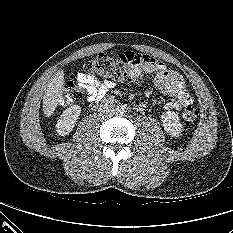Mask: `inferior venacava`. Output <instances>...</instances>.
I'll return each mask as SVG.
<instances>
[{"label":"inferior vena cava","instance_id":"inferior-vena-cava-1","mask_svg":"<svg viewBox=\"0 0 233 233\" xmlns=\"http://www.w3.org/2000/svg\"><path fill=\"white\" fill-rule=\"evenodd\" d=\"M105 111L103 109L100 110V115L102 118L108 117L114 110L112 109V107H107Z\"/></svg>","mask_w":233,"mask_h":233}]
</instances>
